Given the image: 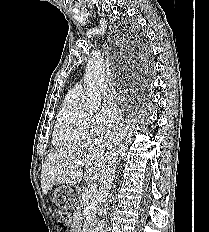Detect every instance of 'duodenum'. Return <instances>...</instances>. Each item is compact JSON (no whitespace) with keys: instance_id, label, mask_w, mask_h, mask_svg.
I'll use <instances>...</instances> for the list:
<instances>
[{"instance_id":"duodenum-1","label":"duodenum","mask_w":209,"mask_h":232,"mask_svg":"<svg viewBox=\"0 0 209 232\" xmlns=\"http://www.w3.org/2000/svg\"><path fill=\"white\" fill-rule=\"evenodd\" d=\"M89 232H95L94 227H90V228H89Z\"/></svg>"}]
</instances>
